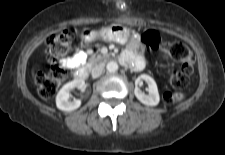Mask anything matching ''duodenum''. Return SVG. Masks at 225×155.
Returning a JSON list of instances; mask_svg holds the SVG:
<instances>
[{
    "label": "duodenum",
    "mask_w": 225,
    "mask_h": 155,
    "mask_svg": "<svg viewBox=\"0 0 225 155\" xmlns=\"http://www.w3.org/2000/svg\"><path fill=\"white\" fill-rule=\"evenodd\" d=\"M88 76V71L86 68H79L74 73V78L76 80H85Z\"/></svg>",
    "instance_id": "duodenum-1"
}]
</instances>
